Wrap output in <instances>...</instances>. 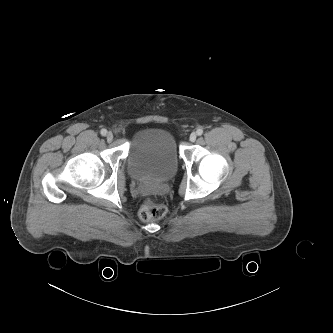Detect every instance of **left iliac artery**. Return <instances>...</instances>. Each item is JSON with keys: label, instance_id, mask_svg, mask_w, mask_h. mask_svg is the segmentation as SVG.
Returning a JSON list of instances; mask_svg holds the SVG:
<instances>
[{"label": "left iliac artery", "instance_id": "left-iliac-artery-1", "mask_svg": "<svg viewBox=\"0 0 333 333\" xmlns=\"http://www.w3.org/2000/svg\"><path fill=\"white\" fill-rule=\"evenodd\" d=\"M197 135H202L203 134V129L202 128H198L196 131Z\"/></svg>", "mask_w": 333, "mask_h": 333}]
</instances>
